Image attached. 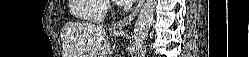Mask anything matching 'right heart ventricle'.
Listing matches in <instances>:
<instances>
[{"mask_svg":"<svg viewBox=\"0 0 249 57\" xmlns=\"http://www.w3.org/2000/svg\"><path fill=\"white\" fill-rule=\"evenodd\" d=\"M71 14L83 21H100L107 10L105 0H71L69 5Z\"/></svg>","mask_w":249,"mask_h":57,"instance_id":"right-heart-ventricle-1","label":"right heart ventricle"}]
</instances>
